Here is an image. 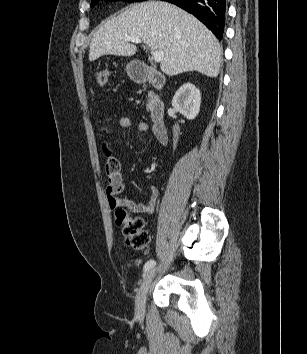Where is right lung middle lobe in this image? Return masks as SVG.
I'll return each mask as SVG.
<instances>
[{
    "instance_id": "obj_1",
    "label": "right lung middle lobe",
    "mask_w": 307,
    "mask_h": 354,
    "mask_svg": "<svg viewBox=\"0 0 307 354\" xmlns=\"http://www.w3.org/2000/svg\"><path fill=\"white\" fill-rule=\"evenodd\" d=\"M100 0H91V7H94ZM112 1H116V0H112ZM124 1H130V2H140V1H144V0H124Z\"/></svg>"
}]
</instances>
